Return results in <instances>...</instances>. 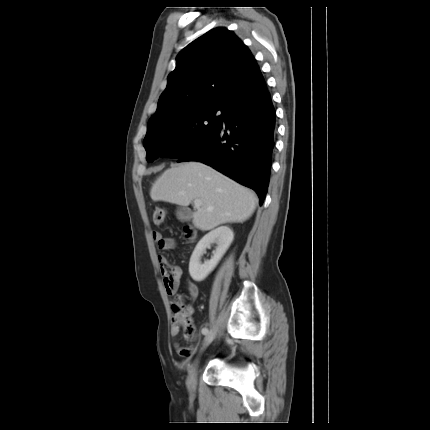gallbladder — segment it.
Instances as JSON below:
<instances>
[{"label":"gallbladder","mask_w":430,"mask_h":430,"mask_svg":"<svg viewBox=\"0 0 430 430\" xmlns=\"http://www.w3.org/2000/svg\"><path fill=\"white\" fill-rule=\"evenodd\" d=\"M176 216L180 221L185 222L192 217V211L186 207H179L176 210Z\"/></svg>","instance_id":"gallbladder-1"}]
</instances>
